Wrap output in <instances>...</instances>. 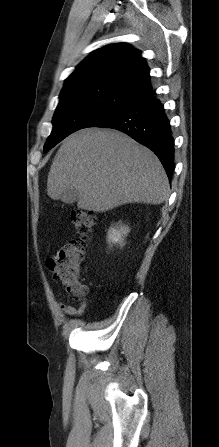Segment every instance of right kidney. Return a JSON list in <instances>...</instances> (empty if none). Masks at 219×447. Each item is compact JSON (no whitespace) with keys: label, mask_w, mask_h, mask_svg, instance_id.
<instances>
[{"label":"right kidney","mask_w":219,"mask_h":447,"mask_svg":"<svg viewBox=\"0 0 219 447\" xmlns=\"http://www.w3.org/2000/svg\"><path fill=\"white\" fill-rule=\"evenodd\" d=\"M128 233H129L128 226L119 225V227L116 226L108 230L107 240L114 244L119 243L120 245H122L124 238L125 236H127Z\"/></svg>","instance_id":"1"}]
</instances>
